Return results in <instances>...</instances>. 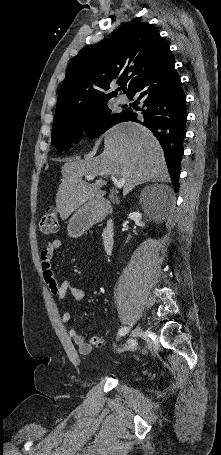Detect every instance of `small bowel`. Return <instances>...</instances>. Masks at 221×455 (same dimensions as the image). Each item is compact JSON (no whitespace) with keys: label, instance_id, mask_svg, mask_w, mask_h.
I'll list each match as a JSON object with an SVG mask.
<instances>
[{"label":"small bowel","instance_id":"c3829d8e","mask_svg":"<svg viewBox=\"0 0 221 455\" xmlns=\"http://www.w3.org/2000/svg\"><path fill=\"white\" fill-rule=\"evenodd\" d=\"M60 247L61 241L53 240L47 243L42 250L39 265L42 272L43 281L50 293L53 296L57 297L60 301L64 299L67 293H70L75 299L81 300L86 297V292L84 290L75 287L69 281L58 283L55 279L52 260ZM70 319V313L67 310L63 309L61 312L62 322L68 323ZM68 334L78 345V349L81 354H89L93 350L94 347L90 343L85 342L83 336L76 328H70L68 330Z\"/></svg>","mask_w":221,"mask_h":455}]
</instances>
